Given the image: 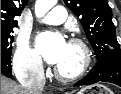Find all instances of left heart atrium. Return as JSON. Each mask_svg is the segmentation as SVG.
<instances>
[{"instance_id": "1", "label": "left heart atrium", "mask_w": 121, "mask_h": 94, "mask_svg": "<svg viewBox=\"0 0 121 94\" xmlns=\"http://www.w3.org/2000/svg\"><path fill=\"white\" fill-rule=\"evenodd\" d=\"M67 43L60 34L43 33L37 37V47L43 58L50 64H58L62 59Z\"/></svg>"}]
</instances>
